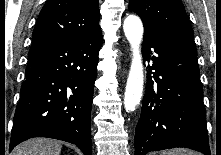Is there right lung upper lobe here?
Instances as JSON below:
<instances>
[{
	"label": "right lung upper lobe",
	"mask_w": 221,
	"mask_h": 155,
	"mask_svg": "<svg viewBox=\"0 0 221 155\" xmlns=\"http://www.w3.org/2000/svg\"><path fill=\"white\" fill-rule=\"evenodd\" d=\"M98 0H48L32 34V42L78 38L100 31Z\"/></svg>",
	"instance_id": "1"
}]
</instances>
